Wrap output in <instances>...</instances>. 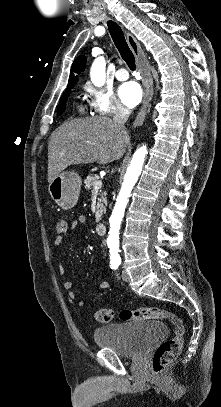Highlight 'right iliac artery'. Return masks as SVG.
Segmentation results:
<instances>
[{
    "label": "right iliac artery",
    "instance_id": "1",
    "mask_svg": "<svg viewBox=\"0 0 221 407\" xmlns=\"http://www.w3.org/2000/svg\"><path fill=\"white\" fill-rule=\"evenodd\" d=\"M111 268L116 270L118 268V265L117 264H111Z\"/></svg>",
    "mask_w": 221,
    "mask_h": 407
}]
</instances>
